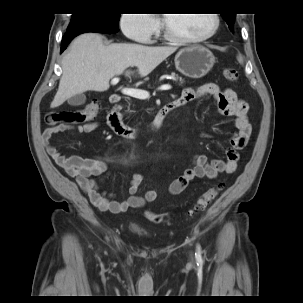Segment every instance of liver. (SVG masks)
Returning <instances> with one entry per match:
<instances>
[{
	"instance_id": "6515ba94",
	"label": "liver",
	"mask_w": 303,
	"mask_h": 303,
	"mask_svg": "<svg viewBox=\"0 0 303 303\" xmlns=\"http://www.w3.org/2000/svg\"><path fill=\"white\" fill-rule=\"evenodd\" d=\"M103 39L99 34L85 33L73 41L70 51L62 59L63 73L52 108L89 90L106 91L110 87V79L123 74L130 66H136L139 75L145 77L176 51L170 46L105 45ZM126 74L130 72L126 71Z\"/></svg>"
}]
</instances>
